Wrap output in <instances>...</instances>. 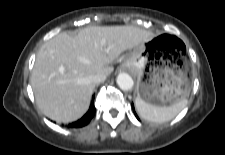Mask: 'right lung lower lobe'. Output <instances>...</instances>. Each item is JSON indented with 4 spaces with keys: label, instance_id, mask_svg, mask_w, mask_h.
<instances>
[{
    "label": "right lung lower lobe",
    "instance_id": "right-lung-lower-lobe-1",
    "mask_svg": "<svg viewBox=\"0 0 225 155\" xmlns=\"http://www.w3.org/2000/svg\"><path fill=\"white\" fill-rule=\"evenodd\" d=\"M95 114V106L94 103H91L89 111L78 121L73 122L72 124L69 125V127H82L85 126L90 122L92 117Z\"/></svg>",
    "mask_w": 225,
    "mask_h": 155
}]
</instances>
